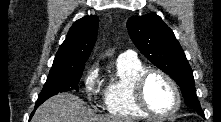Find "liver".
Wrapping results in <instances>:
<instances>
[{
	"label": "liver",
	"mask_w": 221,
	"mask_h": 122,
	"mask_svg": "<svg viewBox=\"0 0 221 122\" xmlns=\"http://www.w3.org/2000/svg\"><path fill=\"white\" fill-rule=\"evenodd\" d=\"M32 122H132L120 117H102L86 107L76 95L61 93L45 101L32 118Z\"/></svg>",
	"instance_id": "1"
}]
</instances>
